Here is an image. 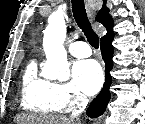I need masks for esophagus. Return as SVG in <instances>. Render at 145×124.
Returning a JSON list of instances; mask_svg holds the SVG:
<instances>
[{"instance_id": "obj_1", "label": "esophagus", "mask_w": 145, "mask_h": 124, "mask_svg": "<svg viewBox=\"0 0 145 124\" xmlns=\"http://www.w3.org/2000/svg\"><path fill=\"white\" fill-rule=\"evenodd\" d=\"M92 2H93L92 0H86V8H87L89 15H91V10L96 8V5L92 4Z\"/></svg>"}]
</instances>
